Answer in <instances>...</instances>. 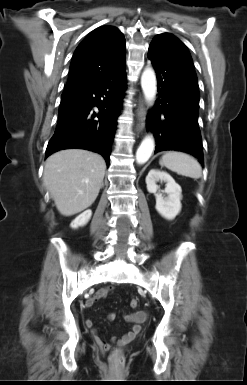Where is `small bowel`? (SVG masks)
<instances>
[{"label":"small bowel","instance_id":"obj_1","mask_svg":"<svg viewBox=\"0 0 247 385\" xmlns=\"http://www.w3.org/2000/svg\"><path fill=\"white\" fill-rule=\"evenodd\" d=\"M110 293L109 289H102L99 291L96 295L93 297L89 298L85 302V306L89 307L92 306L93 304L99 302L102 298L108 296ZM146 312L145 311H139L136 313H130L126 315V320L131 324V327L129 331L121 338L118 340V344H126L127 342L131 341L134 339L140 332L141 330V325L146 319ZM117 317V314L115 312H110L107 315L108 320L114 321ZM85 325L87 328H89L94 336L95 341L104 349L110 348V344L107 343L105 340H103L97 333L96 329L93 327V322L90 319L85 320Z\"/></svg>","mask_w":247,"mask_h":385}]
</instances>
